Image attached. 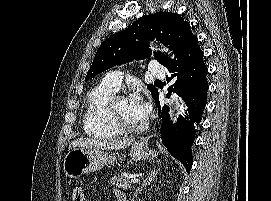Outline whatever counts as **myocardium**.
I'll return each mask as SVG.
<instances>
[{
	"instance_id": "myocardium-1",
	"label": "myocardium",
	"mask_w": 271,
	"mask_h": 201,
	"mask_svg": "<svg viewBox=\"0 0 271 201\" xmlns=\"http://www.w3.org/2000/svg\"><path fill=\"white\" fill-rule=\"evenodd\" d=\"M125 99V96L122 94H115L111 97L107 105L108 114L113 122V124L122 132V133H140L144 131L147 127V122L143 121L139 125H132L124 120H122L115 111V105L120 101Z\"/></svg>"
}]
</instances>
